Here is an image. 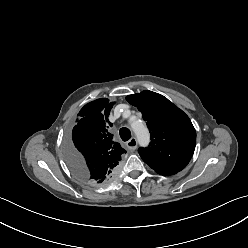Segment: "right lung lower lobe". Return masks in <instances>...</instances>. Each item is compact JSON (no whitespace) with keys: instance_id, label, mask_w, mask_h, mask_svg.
Segmentation results:
<instances>
[{"instance_id":"obj_1","label":"right lung lower lobe","mask_w":248,"mask_h":248,"mask_svg":"<svg viewBox=\"0 0 248 248\" xmlns=\"http://www.w3.org/2000/svg\"><path fill=\"white\" fill-rule=\"evenodd\" d=\"M75 166H74V168H73V172L80 178V179H82V180H84V181H89L90 183H96V182H99V181H101V179L100 178H95V179H85L84 178V176L80 173V171H79V169H78V164H77V161H75ZM69 165V164H68ZM117 169H115L113 172H112V174L110 175V176H108L105 180H103V181H107V180H109V179H111V178H114L116 175H117ZM102 181V182H103Z\"/></svg>"}]
</instances>
